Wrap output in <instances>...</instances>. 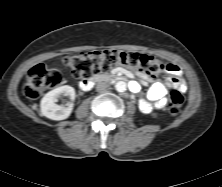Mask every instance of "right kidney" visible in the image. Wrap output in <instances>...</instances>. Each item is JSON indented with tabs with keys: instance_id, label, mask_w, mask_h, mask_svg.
Wrapping results in <instances>:
<instances>
[{
	"instance_id": "right-kidney-1",
	"label": "right kidney",
	"mask_w": 222,
	"mask_h": 187,
	"mask_svg": "<svg viewBox=\"0 0 222 187\" xmlns=\"http://www.w3.org/2000/svg\"><path fill=\"white\" fill-rule=\"evenodd\" d=\"M62 96L69 97L72 101L75 99V90L69 85L55 88L44 95L41 99L40 107L43 116L51 120H64L68 118L73 109V103L58 105L57 102Z\"/></svg>"
}]
</instances>
